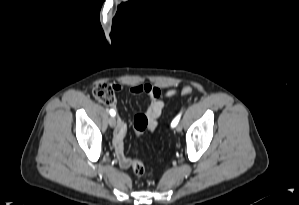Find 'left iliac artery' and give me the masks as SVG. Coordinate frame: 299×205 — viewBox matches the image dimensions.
Listing matches in <instances>:
<instances>
[{
  "instance_id": "obj_1",
  "label": "left iliac artery",
  "mask_w": 299,
  "mask_h": 205,
  "mask_svg": "<svg viewBox=\"0 0 299 205\" xmlns=\"http://www.w3.org/2000/svg\"><path fill=\"white\" fill-rule=\"evenodd\" d=\"M180 118H181V113L178 114V115L174 118V120H173L172 123H171V127H175V126L178 124Z\"/></svg>"
}]
</instances>
